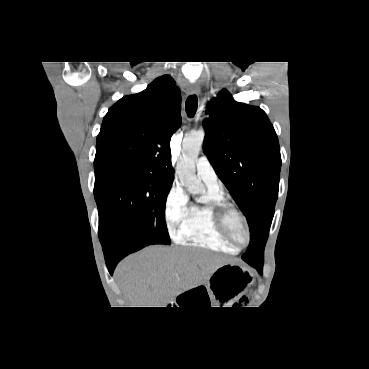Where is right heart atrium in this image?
Listing matches in <instances>:
<instances>
[{"label":"right heart atrium","instance_id":"right-heart-atrium-1","mask_svg":"<svg viewBox=\"0 0 369 369\" xmlns=\"http://www.w3.org/2000/svg\"><path fill=\"white\" fill-rule=\"evenodd\" d=\"M189 206L188 196L182 186L178 183L173 184L165 199L164 215L168 230L176 235V238Z\"/></svg>","mask_w":369,"mask_h":369}]
</instances>
